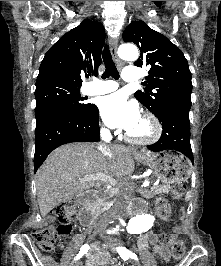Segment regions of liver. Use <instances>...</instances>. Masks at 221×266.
I'll list each match as a JSON object with an SVG mask.
<instances>
[{"label": "liver", "mask_w": 221, "mask_h": 266, "mask_svg": "<svg viewBox=\"0 0 221 266\" xmlns=\"http://www.w3.org/2000/svg\"><path fill=\"white\" fill-rule=\"evenodd\" d=\"M108 158L92 143H70L55 149L36 173L37 200L42 217L60 203L73 199L101 180L80 181L85 175L103 173L121 179L134 170L131 151L124 146L112 147Z\"/></svg>", "instance_id": "6515ba94"}]
</instances>
